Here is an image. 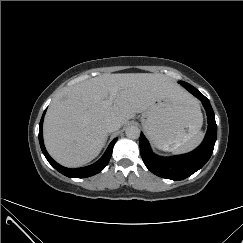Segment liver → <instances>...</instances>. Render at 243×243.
<instances>
[{
    "label": "liver",
    "instance_id": "6515ba94",
    "mask_svg": "<svg viewBox=\"0 0 243 243\" xmlns=\"http://www.w3.org/2000/svg\"><path fill=\"white\" fill-rule=\"evenodd\" d=\"M117 89L114 104L104 103ZM177 102L189 94L160 73L102 74L66 87L52 100L43 125L49 154L61 165L78 167L96 158L106 142L105 122L126 124L160 99Z\"/></svg>",
    "mask_w": 243,
    "mask_h": 243
}]
</instances>
